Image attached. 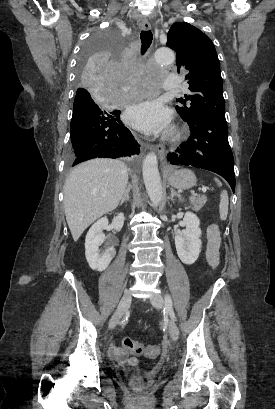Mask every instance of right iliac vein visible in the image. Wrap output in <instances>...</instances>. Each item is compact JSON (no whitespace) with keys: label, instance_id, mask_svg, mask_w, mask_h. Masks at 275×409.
I'll use <instances>...</instances> for the list:
<instances>
[{"label":"right iliac vein","instance_id":"right-iliac-vein-1","mask_svg":"<svg viewBox=\"0 0 275 409\" xmlns=\"http://www.w3.org/2000/svg\"><path fill=\"white\" fill-rule=\"evenodd\" d=\"M131 300H132V294H131V291L128 290L123 294L120 300V303L109 322V329H114L117 323H119L123 314L129 308Z\"/></svg>","mask_w":275,"mask_h":409}]
</instances>
